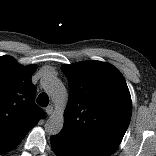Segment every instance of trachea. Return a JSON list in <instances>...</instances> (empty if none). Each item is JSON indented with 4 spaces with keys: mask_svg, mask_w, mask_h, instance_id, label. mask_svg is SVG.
<instances>
[{
    "mask_svg": "<svg viewBox=\"0 0 156 156\" xmlns=\"http://www.w3.org/2000/svg\"><path fill=\"white\" fill-rule=\"evenodd\" d=\"M37 103L41 107H46L49 104V97L46 93H41L37 98Z\"/></svg>",
    "mask_w": 156,
    "mask_h": 156,
    "instance_id": "obj_1",
    "label": "trachea"
}]
</instances>
